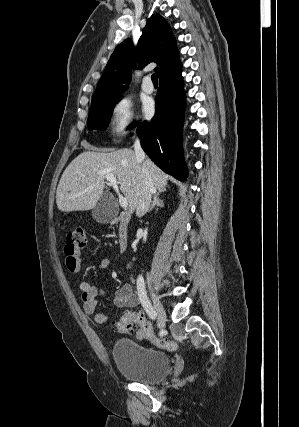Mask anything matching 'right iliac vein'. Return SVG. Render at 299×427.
Here are the masks:
<instances>
[{
  "instance_id": "right-iliac-vein-1",
  "label": "right iliac vein",
  "mask_w": 299,
  "mask_h": 427,
  "mask_svg": "<svg viewBox=\"0 0 299 427\" xmlns=\"http://www.w3.org/2000/svg\"><path fill=\"white\" fill-rule=\"evenodd\" d=\"M148 286H149L151 298L153 300V304L158 317V327L163 328L166 321V313H165L164 307L153 289L151 279L148 280Z\"/></svg>"
}]
</instances>
